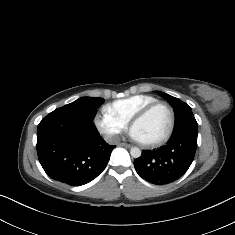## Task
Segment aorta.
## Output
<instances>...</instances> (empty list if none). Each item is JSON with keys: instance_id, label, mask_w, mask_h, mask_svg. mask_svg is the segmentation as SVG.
Segmentation results:
<instances>
[{"instance_id": "obj_1", "label": "aorta", "mask_w": 235, "mask_h": 235, "mask_svg": "<svg viewBox=\"0 0 235 235\" xmlns=\"http://www.w3.org/2000/svg\"><path fill=\"white\" fill-rule=\"evenodd\" d=\"M130 154L133 158H139L141 156V150L138 147H132Z\"/></svg>"}]
</instances>
